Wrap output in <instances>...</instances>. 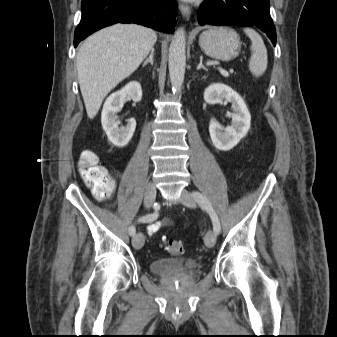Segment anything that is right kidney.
I'll return each instance as SVG.
<instances>
[{
    "instance_id": "right-kidney-1",
    "label": "right kidney",
    "mask_w": 337,
    "mask_h": 337,
    "mask_svg": "<svg viewBox=\"0 0 337 337\" xmlns=\"http://www.w3.org/2000/svg\"><path fill=\"white\" fill-rule=\"evenodd\" d=\"M126 97H130L134 102H139L142 98L141 85L136 82H130L121 90L112 93L105 101L101 114V123L106 132L109 141L117 147H124L131 140L136 121L131 118L127 121L125 127H118L116 113L121 110Z\"/></svg>"
}]
</instances>
